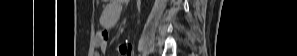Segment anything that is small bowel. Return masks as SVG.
Segmentation results:
<instances>
[{
    "label": "small bowel",
    "mask_w": 297,
    "mask_h": 56,
    "mask_svg": "<svg viewBox=\"0 0 297 56\" xmlns=\"http://www.w3.org/2000/svg\"><path fill=\"white\" fill-rule=\"evenodd\" d=\"M123 0H110L103 8L100 23L104 30L100 31L97 35V48L105 53L108 43L107 30L116 25L122 13ZM119 53L128 55L130 49L127 45L121 44L119 46Z\"/></svg>",
    "instance_id": "obj_1"
}]
</instances>
